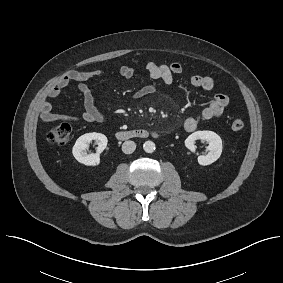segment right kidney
<instances>
[{
  "instance_id": "1",
  "label": "right kidney",
  "mask_w": 283,
  "mask_h": 283,
  "mask_svg": "<svg viewBox=\"0 0 283 283\" xmlns=\"http://www.w3.org/2000/svg\"><path fill=\"white\" fill-rule=\"evenodd\" d=\"M92 140H95L98 144L97 153L87 154L86 149ZM107 142V137L104 134L96 132L86 133L76 140L72 149V154L78 162L84 165H99L100 153L106 148Z\"/></svg>"
}]
</instances>
